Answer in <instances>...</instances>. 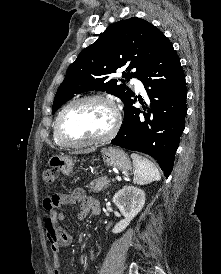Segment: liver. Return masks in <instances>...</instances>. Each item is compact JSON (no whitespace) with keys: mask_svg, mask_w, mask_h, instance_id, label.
Returning a JSON list of instances; mask_svg holds the SVG:
<instances>
[{"mask_svg":"<svg viewBox=\"0 0 221 274\" xmlns=\"http://www.w3.org/2000/svg\"><path fill=\"white\" fill-rule=\"evenodd\" d=\"M94 151V149H87V150H81V151H78V152H76L77 154L78 153H90V152H93Z\"/></svg>","mask_w":221,"mask_h":274,"instance_id":"obj_1","label":"liver"}]
</instances>
